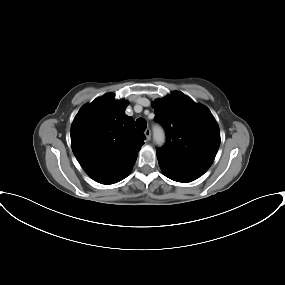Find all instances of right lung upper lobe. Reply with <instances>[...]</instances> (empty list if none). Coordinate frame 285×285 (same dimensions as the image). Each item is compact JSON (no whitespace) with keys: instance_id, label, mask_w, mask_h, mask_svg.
<instances>
[{"instance_id":"cb5924a9","label":"right lung upper lobe","mask_w":285,"mask_h":285,"mask_svg":"<svg viewBox=\"0 0 285 285\" xmlns=\"http://www.w3.org/2000/svg\"><path fill=\"white\" fill-rule=\"evenodd\" d=\"M128 102L105 94L84 105L71 126V145L86 173L101 184L120 181L134 165L144 134L125 114Z\"/></svg>"}]
</instances>
